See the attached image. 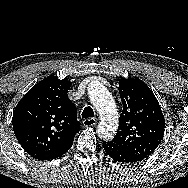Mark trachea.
Segmentation results:
<instances>
[{
    "label": "trachea",
    "instance_id": "3493384b",
    "mask_svg": "<svg viewBox=\"0 0 188 188\" xmlns=\"http://www.w3.org/2000/svg\"><path fill=\"white\" fill-rule=\"evenodd\" d=\"M94 117V111L91 107L87 106L82 112V118H91Z\"/></svg>",
    "mask_w": 188,
    "mask_h": 188
}]
</instances>
